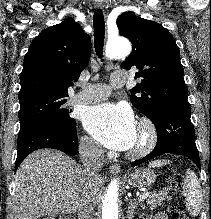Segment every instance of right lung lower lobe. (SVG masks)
<instances>
[{
  "instance_id": "1",
  "label": "right lung lower lobe",
  "mask_w": 211,
  "mask_h": 219,
  "mask_svg": "<svg viewBox=\"0 0 211 219\" xmlns=\"http://www.w3.org/2000/svg\"><path fill=\"white\" fill-rule=\"evenodd\" d=\"M54 148L68 155L78 151L76 124L67 127L54 122H40L20 129L15 169L32 151Z\"/></svg>"
}]
</instances>
